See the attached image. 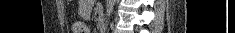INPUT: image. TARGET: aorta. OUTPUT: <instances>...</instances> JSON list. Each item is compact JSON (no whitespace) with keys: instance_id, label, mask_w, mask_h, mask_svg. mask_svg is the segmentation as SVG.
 I'll use <instances>...</instances> for the list:
<instances>
[{"instance_id":"aorta-1","label":"aorta","mask_w":235,"mask_h":33,"mask_svg":"<svg viewBox=\"0 0 235 33\" xmlns=\"http://www.w3.org/2000/svg\"><path fill=\"white\" fill-rule=\"evenodd\" d=\"M116 0H107L106 4V16L109 18L113 12L114 4Z\"/></svg>"}]
</instances>
